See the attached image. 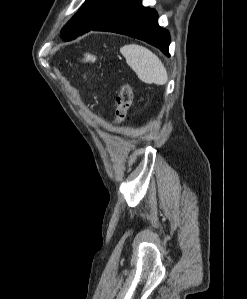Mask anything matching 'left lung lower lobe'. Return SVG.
I'll return each instance as SVG.
<instances>
[{
    "label": "left lung lower lobe",
    "instance_id": "left-lung-lower-lobe-1",
    "mask_svg": "<svg viewBox=\"0 0 247 299\" xmlns=\"http://www.w3.org/2000/svg\"><path fill=\"white\" fill-rule=\"evenodd\" d=\"M157 17L158 13L143 7L141 0H126L91 30L109 31L137 38L159 48L169 56L170 35L166 29L158 25Z\"/></svg>",
    "mask_w": 247,
    "mask_h": 299
}]
</instances>
